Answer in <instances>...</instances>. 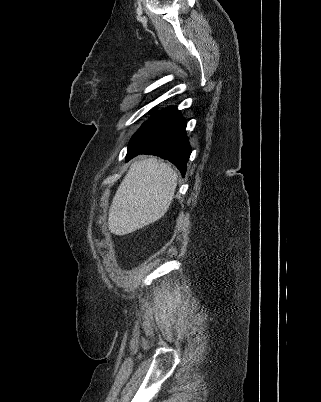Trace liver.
Here are the masks:
<instances>
[{
    "label": "liver",
    "instance_id": "6515ba94",
    "mask_svg": "<svg viewBox=\"0 0 321 402\" xmlns=\"http://www.w3.org/2000/svg\"><path fill=\"white\" fill-rule=\"evenodd\" d=\"M177 173L155 157L135 161L111 203L108 228L119 236L162 218L173 200Z\"/></svg>",
    "mask_w": 321,
    "mask_h": 402
}]
</instances>
